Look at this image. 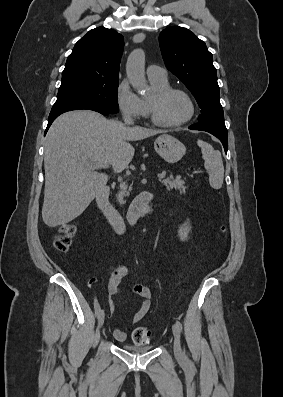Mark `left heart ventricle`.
Here are the masks:
<instances>
[{"label": "left heart ventricle", "instance_id": "1", "mask_svg": "<svg viewBox=\"0 0 283 397\" xmlns=\"http://www.w3.org/2000/svg\"><path fill=\"white\" fill-rule=\"evenodd\" d=\"M190 111L188 99L180 93H173L162 102L159 114L165 122H178L185 119Z\"/></svg>", "mask_w": 283, "mask_h": 397}]
</instances>
